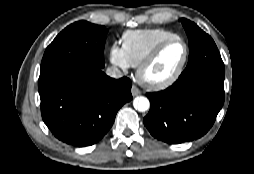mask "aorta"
<instances>
[{"instance_id":"1","label":"aorta","mask_w":254,"mask_h":174,"mask_svg":"<svg viewBox=\"0 0 254 174\" xmlns=\"http://www.w3.org/2000/svg\"><path fill=\"white\" fill-rule=\"evenodd\" d=\"M133 105L138 111L145 112L149 109L150 102L146 97L140 96L135 98Z\"/></svg>"}]
</instances>
